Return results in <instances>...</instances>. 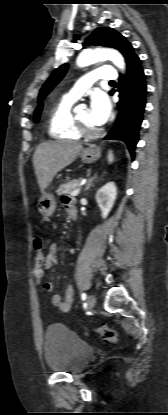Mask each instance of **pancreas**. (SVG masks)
Instances as JSON below:
<instances>
[{
    "instance_id": "obj_1",
    "label": "pancreas",
    "mask_w": 168,
    "mask_h": 415,
    "mask_svg": "<svg viewBox=\"0 0 168 415\" xmlns=\"http://www.w3.org/2000/svg\"><path fill=\"white\" fill-rule=\"evenodd\" d=\"M80 180H73L67 183L61 184L57 190L58 195L72 194V192L79 186Z\"/></svg>"
}]
</instances>
